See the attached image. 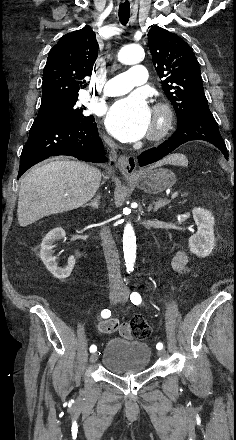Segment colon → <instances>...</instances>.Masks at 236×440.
Returning a JSON list of instances; mask_svg holds the SVG:
<instances>
[{
    "label": "colon",
    "instance_id": "1",
    "mask_svg": "<svg viewBox=\"0 0 236 440\" xmlns=\"http://www.w3.org/2000/svg\"><path fill=\"white\" fill-rule=\"evenodd\" d=\"M130 323L134 338L145 339L150 335V327L144 317L134 316Z\"/></svg>",
    "mask_w": 236,
    "mask_h": 440
}]
</instances>
